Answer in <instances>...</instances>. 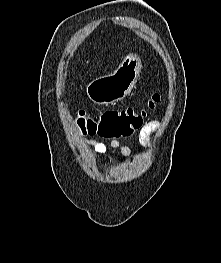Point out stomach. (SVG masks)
Instances as JSON below:
<instances>
[{"label": "stomach", "instance_id": "stomach-1", "mask_svg": "<svg viewBox=\"0 0 221 263\" xmlns=\"http://www.w3.org/2000/svg\"><path fill=\"white\" fill-rule=\"evenodd\" d=\"M141 68L142 62L136 55L126 56L112 74L96 78L87 85L88 98L99 105L124 99L136 84Z\"/></svg>", "mask_w": 221, "mask_h": 263}]
</instances>
